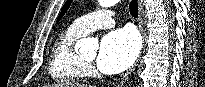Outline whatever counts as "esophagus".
<instances>
[{
  "label": "esophagus",
  "mask_w": 205,
  "mask_h": 87,
  "mask_svg": "<svg viewBox=\"0 0 205 87\" xmlns=\"http://www.w3.org/2000/svg\"><path fill=\"white\" fill-rule=\"evenodd\" d=\"M138 2V9H139V21H140V25H141V30L143 31V4H142V0H137ZM139 59L137 60V62L129 69V71L125 74V76L122 78L121 82H120V86H122L126 80L129 79L131 73L134 71L135 67L138 64Z\"/></svg>",
  "instance_id": "esophagus-1"
}]
</instances>
